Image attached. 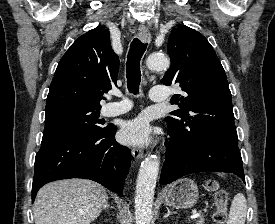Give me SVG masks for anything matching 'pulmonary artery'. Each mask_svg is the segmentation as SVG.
Returning a JSON list of instances; mask_svg holds the SVG:
<instances>
[{
    "label": "pulmonary artery",
    "instance_id": "obj_1",
    "mask_svg": "<svg viewBox=\"0 0 275 224\" xmlns=\"http://www.w3.org/2000/svg\"><path fill=\"white\" fill-rule=\"evenodd\" d=\"M168 97V89L166 87H154L150 91V98L154 102L165 101ZM131 107L128 99L123 98L119 102L108 103L104 108V115L117 116L127 112Z\"/></svg>",
    "mask_w": 275,
    "mask_h": 224
}]
</instances>
